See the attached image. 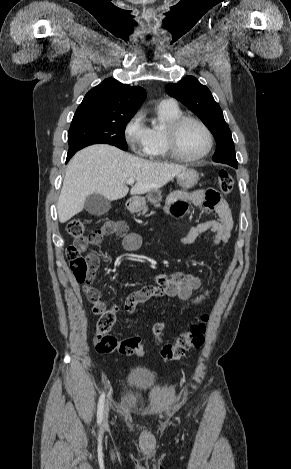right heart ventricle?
Segmentation results:
<instances>
[{"mask_svg":"<svg viewBox=\"0 0 291 469\" xmlns=\"http://www.w3.org/2000/svg\"><path fill=\"white\" fill-rule=\"evenodd\" d=\"M158 118L161 126L149 127L148 143L144 151V155L154 161H163L170 158L165 144V128L174 119L182 115L180 108L175 105L160 104L157 107Z\"/></svg>","mask_w":291,"mask_h":469,"instance_id":"1","label":"right heart ventricle"}]
</instances>
